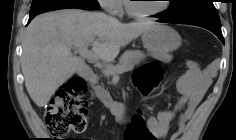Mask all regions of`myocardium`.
Wrapping results in <instances>:
<instances>
[{
  "mask_svg": "<svg viewBox=\"0 0 236 140\" xmlns=\"http://www.w3.org/2000/svg\"><path fill=\"white\" fill-rule=\"evenodd\" d=\"M168 8H169V2L165 1V3L160 8H158L154 11L139 12V11H136L132 8L130 0H126V3H125V9H126L127 13L131 17L137 18V19H148V18L154 17V16L166 11Z\"/></svg>",
  "mask_w": 236,
  "mask_h": 140,
  "instance_id": "1",
  "label": "myocardium"
}]
</instances>
